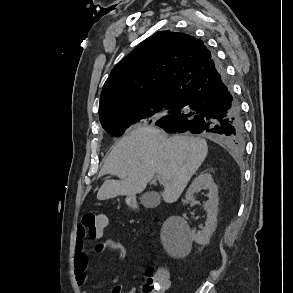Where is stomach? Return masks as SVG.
Returning <instances> with one entry per match:
<instances>
[{"mask_svg": "<svg viewBox=\"0 0 293 293\" xmlns=\"http://www.w3.org/2000/svg\"><path fill=\"white\" fill-rule=\"evenodd\" d=\"M126 203H127L128 205L132 206V205H133V200H132V198H127V199H126Z\"/></svg>", "mask_w": 293, "mask_h": 293, "instance_id": "obj_1", "label": "stomach"}]
</instances>
